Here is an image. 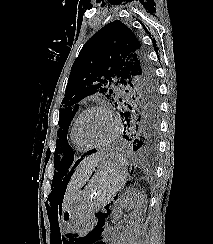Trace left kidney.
Instances as JSON below:
<instances>
[{
  "label": "left kidney",
  "instance_id": "5707ae66",
  "mask_svg": "<svg viewBox=\"0 0 213 244\" xmlns=\"http://www.w3.org/2000/svg\"><path fill=\"white\" fill-rule=\"evenodd\" d=\"M144 195L138 191L130 190L123 197L118 199L112 210L113 219L118 220L123 214L124 209H133L129 214L130 220L127 223L125 232L121 235L117 244H134V235L137 233L141 207L144 202Z\"/></svg>",
  "mask_w": 213,
  "mask_h": 244
}]
</instances>
